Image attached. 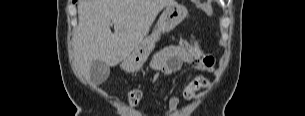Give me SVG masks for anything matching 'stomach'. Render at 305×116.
<instances>
[{
    "mask_svg": "<svg viewBox=\"0 0 305 116\" xmlns=\"http://www.w3.org/2000/svg\"><path fill=\"white\" fill-rule=\"evenodd\" d=\"M186 7L180 4L167 6L158 19L157 25L151 35L145 37L134 51L121 63V68L128 73L138 71L153 51L161 34L173 30L187 16Z\"/></svg>",
    "mask_w": 305,
    "mask_h": 116,
    "instance_id": "obj_1",
    "label": "stomach"
}]
</instances>
